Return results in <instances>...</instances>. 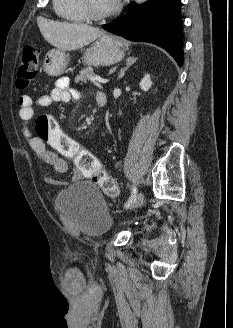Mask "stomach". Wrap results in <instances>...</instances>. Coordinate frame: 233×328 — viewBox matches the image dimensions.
Masks as SVG:
<instances>
[{"label":"stomach","mask_w":233,"mask_h":328,"mask_svg":"<svg viewBox=\"0 0 233 328\" xmlns=\"http://www.w3.org/2000/svg\"><path fill=\"white\" fill-rule=\"evenodd\" d=\"M63 50L52 49L47 52L43 62L44 72L50 76H58L65 70L69 58ZM125 56L124 41L111 34L101 35L89 48L84 50L83 61L88 65H113Z\"/></svg>","instance_id":"obj_1"}]
</instances>
